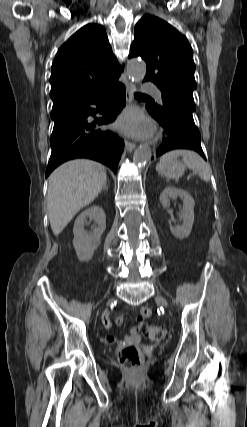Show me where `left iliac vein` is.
<instances>
[{
	"mask_svg": "<svg viewBox=\"0 0 247 427\" xmlns=\"http://www.w3.org/2000/svg\"><path fill=\"white\" fill-rule=\"evenodd\" d=\"M156 301L160 302L163 306H167V301L165 300V298L161 297V296H157L156 297Z\"/></svg>",
	"mask_w": 247,
	"mask_h": 427,
	"instance_id": "1",
	"label": "left iliac vein"
}]
</instances>
